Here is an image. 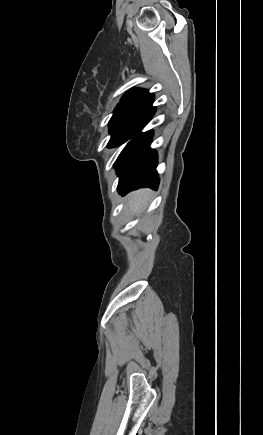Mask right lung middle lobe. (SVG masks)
<instances>
[{"instance_id":"right-lung-middle-lobe-1","label":"right lung middle lobe","mask_w":263,"mask_h":435,"mask_svg":"<svg viewBox=\"0 0 263 435\" xmlns=\"http://www.w3.org/2000/svg\"><path fill=\"white\" fill-rule=\"evenodd\" d=\"M144 108L145 106L139 105L117 106L115 108L109 121L111 139L108 147H116L125 141L131 126Z\"/></svg>"}]
</instances>
